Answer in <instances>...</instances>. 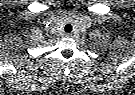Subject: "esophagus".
I'll list each match as a JSON object with an SVG mask.
<instances>
[{
    "mask_svg": "<svg viewBox=\"0 0 135 95\" xmlns=\"http://www.w3.org/2000/svg\"><path fill=\"white\" fill-rule=\"evenodd\" d=\"M64 36L67 37V38H70V37L73 36V34L72 33H66V34H64Z\"/></svg>",
    "mask_w": 135,
    "mask_h": 95,
    "instance_id": "1",
    "label": "esophagus"
}]
</instances>
